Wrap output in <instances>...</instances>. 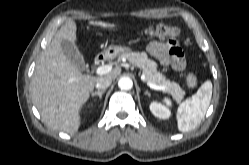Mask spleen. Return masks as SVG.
Segmentation results:
<instances>
[{"mask_svg":"<svg viewBox=\"0 0 249 165\" xmlns=\"http://www.w3.org/2000/svg\"><path fill=\"white\" fill-rule=\"evenodd\" d=\"M212 97V83L205 81L191 98L183 101L177 109V126L181 132L194 129L202 121L210 105ZM168 106L171 101L168 98L163 100Z\"/></svg>","mask_w":249,"mask_h":165,"instance_id":"1","label":"spleen"}]
</instances>
